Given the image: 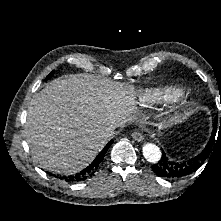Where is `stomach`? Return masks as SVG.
Listing matches in <instances>:
<instances>
[{
  "mask_svg": "<svg viewBox=\"0 0 221 221\" xmlns=\"http://www.w3.org/2000/svg\"><path fill=\"white\" fill-rule=\"evenodd\" d=\"M160 130H161V127L159 126V130L158 131L160 132Z\"/></svg>",
  "mask_w": 221,
  "mask_h": 221,
  "instance_id": "1",
  "label": "stomach"
}]
</instances>
